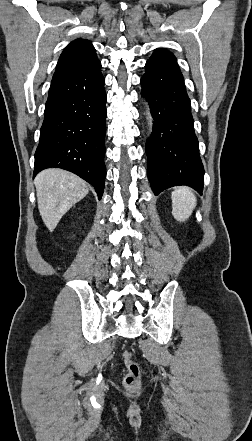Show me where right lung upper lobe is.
Instances as JSON below:
<instances>
[{
    "instance_id": "cb5924a9",
    "label": "right lung upper lobe",
    "mask_w": 252,
    "mask_h": 441,
    "mask_svg": "<svg viewBox=\"0 0 252 441\" xmlns=\"http://www.w3.org/2000/svg\"><path fill=\"white\" fill-rule=\"evenodd\" d=\"M100 62L90 41L77 39L62 52L52 81Z\"/></svg>"
}]
</instances>
